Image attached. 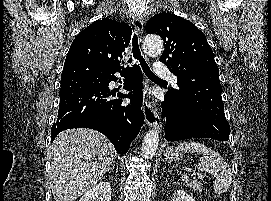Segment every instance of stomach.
Instances as JSON below:
<instances>
[{
  "label": "stomach",
  "instance_id": "0dacf381",
  "mask_svg": "<svg viewBox=\"0 0 271 201\" xmlns=\"http://www.w3.org/2000/svg\"><path fill=\"white\" fill-rule=\"evenodd\" d=\"M164 155L168 161H177L183 158V154L173 147L167 148Z\"/></svg>",
  "mask_w": 271,
  "mask_h": 201
}]
</instances>
